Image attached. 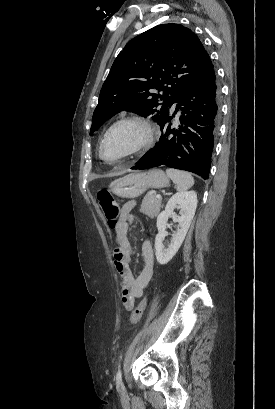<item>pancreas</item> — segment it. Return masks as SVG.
I'll list each match as a JSON object with an SVG mask.
<instances>
[{"instance_id": "pancreas-1", "label": "pancreas", "mask_w": 275, "mask_h": 409, "mask_svg": "<svg viewBox=\"0 0 275 409\" xmlns=\"http://www.w3.org/2000/svg\"><path fill=\"white\" fill-rule=\"evenodd\" d=\"M160 207L161 198H157L154 192H147L142 200L140 213H145V215L153 219V217H158Z\"/></svg>"}]
</instances>
